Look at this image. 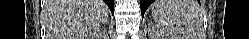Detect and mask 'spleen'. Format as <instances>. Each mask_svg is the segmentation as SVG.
<instances>
[{
    "instance_id": "3e777b00",
    "label": "spleen",
    "mask_w": 249,
    "mask_h": 39,
    "mask_svg": "<svg viewBox=\"0 0 249 39\" xmlns=\"http://www.w3.org/2000/svg\"><path fill=\"white\" fill-rule=\"evenodd\" d=\"M152 16L164 32L185 39L203 37V14L195 0H157L152 5Z\"/></svg>"
}]
</instances>
